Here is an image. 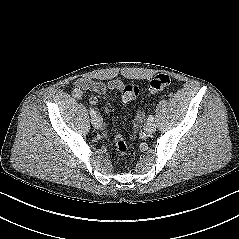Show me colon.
Masks as SVG:
<instances>
[{
    "mask_svg": "<svg viewBox=\"0 0 239 239\" xmlns=\"http://www.w3.org/2000/svg\"><path fill=\"white\" fill-rule=\"evenodd\" d=\"M171 80L170 77L166 74H158L156 75L149 83L148 87L146 88V93L148 95H154L164 88L169 86ZM142 93V89L138 86L127 84L124 85L122 88V98L124 101H132L140 96ZM114 144L116 147L117 152L125 156L128 154V145L121 134H116L114 137Z\"/></svg>",
    "mask_w": 239,
    "mask_h": 239,
    "instance_id": "1",
    "label": "colon"
}]
</instances>
